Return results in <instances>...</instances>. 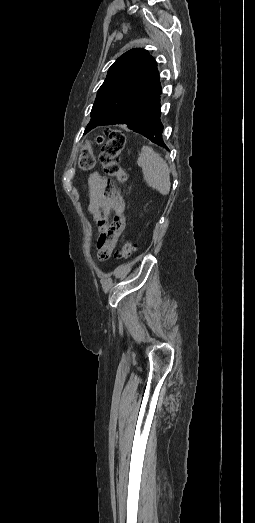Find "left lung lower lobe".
<instances>
[{
	"label": "left lung lower lobe",
	"instance_id": "left-lung-lower-lobe-1",
	"mask_svg": "<svg viewBox=\"0 0 255 523\" xmlns=\"http://www.w3.org/2000/svg\"><path fill=\"white\" fill-rule=\"evenodd\" d=\"M164 125L163 123L152 125V127H149V130H146V127H144V130H137V132H143V136H149L147 137V140H150V142L154 145L159 146L162 150L168 149V144L164 143V132H163Z\"/></svg>",
	"mask_w": 255,
	"mask_h": 523
}]
</instances>
